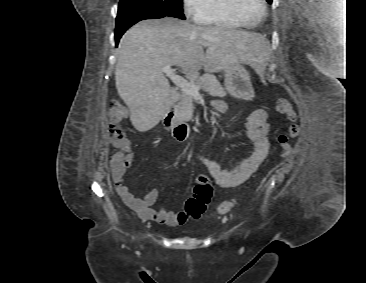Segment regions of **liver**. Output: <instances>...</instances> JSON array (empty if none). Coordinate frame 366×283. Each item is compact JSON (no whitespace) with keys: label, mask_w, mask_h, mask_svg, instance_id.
Returning <instances> with one entry per match:
<instances>
[{"label":"liver","mask_w":366,"mask_h":283,"mask_svg":"<svg viewBox=\"0 0 366 283\" xmlns=\"http://www.w3.org/2000/svg\"><path fill=\"white\" fill-rule=\"evenodd\" d=\"M263 45L258 33L201 27L176 18L137 23L120 40L115 69L116 88L130 110L133 126L145 132L163 118L171 93L164 66L197 75L201 69L217 73L241 63L258 73L263 71Z\"/></svg>","instance_id":"liver-1"}]
</instances>
